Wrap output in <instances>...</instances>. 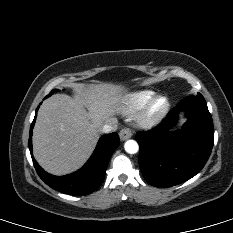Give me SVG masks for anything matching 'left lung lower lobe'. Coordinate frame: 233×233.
<instances>
[{"label": "left lung lower lobe", "mask_w": 233, "mask_h": 233, "mask_svg": "<svg viewBox=\"0 0 233 233\" xmlns=\"http://www.w3.org/2000/svg\"><path fill=\"white\" fill-rule=\"evenodd\" d=\"M180 109L188 118L182 130L167 133ZM139 165L144 178L155 187L187 181L206 164L214 143L211 114L203 96L183 99L152 131L136 133Z\"/></svg>", "instance_id": "0a47b994"}]
</instances>
